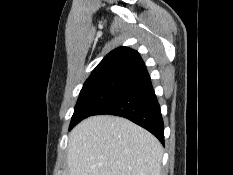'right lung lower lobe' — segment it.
Here are the masks:
<instances>
[{"mask_svg": "<svg viewBox=\"0 0 233 175\" xmlns=\"http://www.w3.org/2000/svg\"><path fill=\"white\" fill-rule=\"evenodd\" d=\"M125 117L147 129L164 144V123L149 74L135 79L93 115Z\"/></svg>", "mask_w": 233, "mask_h": 175, "instance_id": "obj_1", "label": "right lung lower lobe"}]
</instances>
